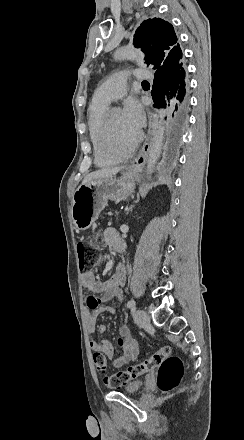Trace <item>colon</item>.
<instances>
[{"instance_id":"obj_1","label":"colon","mask_w":244,"mask_h":440,"mask_svg":"<svg viewBox=\"0 0 244 440\" xmlns=\"http://www.w3.org/2000/svg\"><path fill=\"white\" fill-rule=\"evenodd\" d=\"M94 240L95 245L86 239H79L76 243L78 262L83 273L91 272L100 261L98 247L102 243V238L96 235ZM117 346L124 347L122 337L117 339ZM93 364L97 371H106L108 368L107 356L102 352H94ZM154 368H158L157 387L163 392L171 391L177 387L184 375V367L179 358L170 353L169 347L163 346L150 357L121 369L117 373H110L106 378L109 380L110 386L119 387L151 372Z\"/></svg>"}]
</instances>
